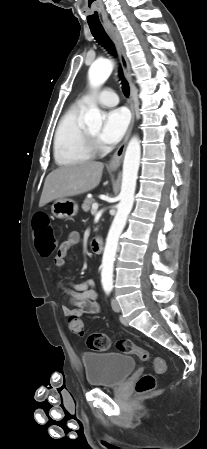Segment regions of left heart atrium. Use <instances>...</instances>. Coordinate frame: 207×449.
I'll return each instance as SVG.
<instances>
[{
    "mask_svg": "<svg viewBox=\"0 0 207 449\" xmlns=\"http://www.w3.org/2000/svg\"><path fill=\"white\" fill-rule=\"evenodd\" d=\"M130 116L126 109L117 108L105 115L99 139L105 144L118 142L127 130Z\"/></svg>",
    "mask_w": 207,
    "mask_h": 449,
    "instance_id": "left-heart-atrium-1",
    "label": "left heart atrium"
}]
</instances>
